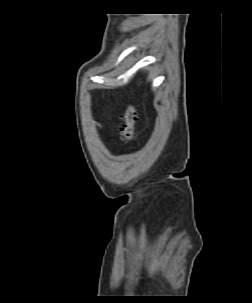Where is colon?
Masks as SVG:
<instances>
[{"mask_svg": "<svg viewBox=\"0 0 252 303\" xmlns=\"http://www.w3.org/2000/svg\"><path fill=\"white\" fill-rule=\"evenodd\" d=\"M138 121V112L135 105L128 103L125 114L124 124L121 127V135L125 142H131L136 138L135 125Z\"/></svg>", "mask_w": 252, "mask_h": 303, "instance_id": "1", "label": "colon"}]
</instances>
